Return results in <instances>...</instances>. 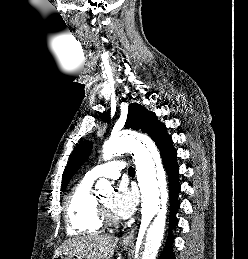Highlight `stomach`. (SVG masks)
Listing matches in <instances>:
<instances>
[{
	"label": "stomach",
	"mask_w": 248,
	"mask_h": 259,
	"mask_svg": "<svg viewBox=\"0 0 248 259\" xmlns=\"http://www.w3.org/2000/svg\"><path fill=\"white\" fill-rule=\"evenodd\" d=\"M124 249H128L127 245L123 246ZM53 259H79L76 255H70V254H59L55 256Z\"/></svg>",
	"instance_id": "obj_1"
}]
</instances>
